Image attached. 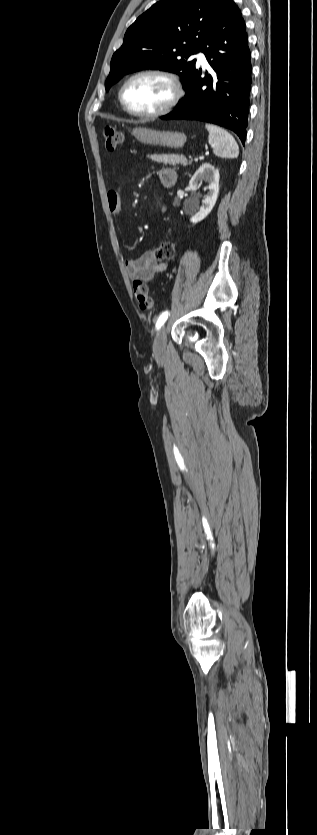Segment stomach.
Returning a JSON list of instances; mask_svg holds the SVG:
<instances>
[{
  "label": "stomach",
  "instance_id": "1",
  "mask_svg": "<svg viewBox=\"0 0 317 835\" xmlns=\"http://www.w3.org/2000/svg\"><path fill=\"white\" fill-rule=\"evenodd\" d=\"M132 134L143 144L169 148H181L187 140L182 132L156 131L143 127L133 129Z\"/></svg>",
  "mask_w": 317,
  "mask_h": 835
}]
</instances>
